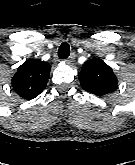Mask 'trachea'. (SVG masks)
Here are the masks:
<instances>
[{
	"label": "trachea",
	"instance_id": "trachea-1",
	"mask_svg": "<svg viewBox=\"0 0 135 165\" xmlns=\"http://www.w3.org/2000/svg\"><path fill=\"white\" fill-rule=\"evenodd\" d=\"M69 55H70L69 44L66 42H63L59 47L58 56L61 59H66L68 58Z\"/></svg>",
	"mask_w": 135,
	"mask_h": 165
}]
</instances>
